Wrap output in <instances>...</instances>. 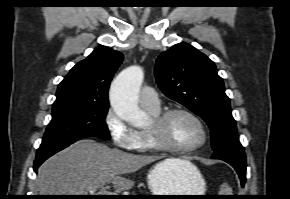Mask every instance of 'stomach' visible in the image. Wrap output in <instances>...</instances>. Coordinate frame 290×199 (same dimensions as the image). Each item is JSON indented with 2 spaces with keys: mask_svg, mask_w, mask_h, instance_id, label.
Here are the masks:
<instances>
[{
  "mask_svg": "<svg viewBox=\"0 0 290 199\" xmlns=\"http://www.w3.org/2000/svg\"><path fill=\"white\" fill-rule=\"evenodd\" d=\"M147 184L152 195H205L206 183L193 165L177 168L157 163L147 174ZM162 198L197 199L198 196H173Z\"/></svg>",
  "mask_w": 290,
  "mask_h": 199,
  "instance_id": "stomach-1",
  "label": "stomach"
}]
</instances>
